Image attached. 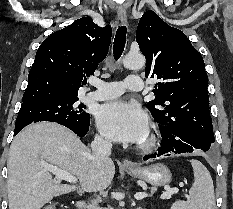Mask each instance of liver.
I'll return each instance as SVG.
<instances>
[{
	"label": "liver",
	"instance_id": "6515ba94",
	"mask_svg": "<svg viewBox=\"0 0 233 209\" xmlns=\"http://www.w3.org/2000/svg\"><path fill=\"white\" fill-rule=\"evenodd\" d=\"M44 164L69 172L79 186L58 184ZM9 209H41L56 196L78 189H106L115 174L111 159L95 156L69 129L55 123H37L13 140L8 157Z\"/></svg>",
	"mask_w": 233,
	"mask_h": 209
}]
</instances>
